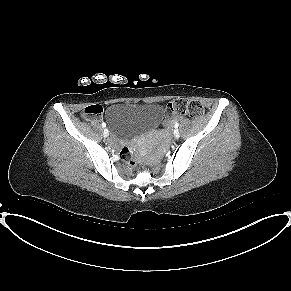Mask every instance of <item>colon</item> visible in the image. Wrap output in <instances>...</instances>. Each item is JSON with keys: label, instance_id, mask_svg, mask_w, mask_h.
I'll return each mask as SVG.
<instances>
[{"label": "colon", "instance_id": "obj_1", "mask_svg": "<svg viewBox=\"0 0 291 291\" xmlns=\"http://www.w3.org/2000/svg\"><path fill=\"white\" fill-rule=\"evenodd\" d=\"M165 110L167 117L173 115H187L192 118H199L204 113L203 106L199 101L186 98H179L171 101L167 104ZM101 114L102 108L99 105H89L81 112V116L86 119H99ZM120 158L128 165L134 164V155L129 147H124L121 150Z\"/></svg>", "mask_w": 291, "mask_h": 291}]
</instances>
